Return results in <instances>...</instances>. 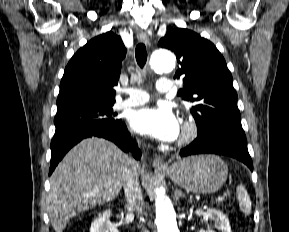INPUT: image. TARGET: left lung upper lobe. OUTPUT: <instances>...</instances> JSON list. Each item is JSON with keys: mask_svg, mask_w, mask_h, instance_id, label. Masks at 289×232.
<instances>
[{"mask_svg": "<svg viewBox=\"0 0 289 232\" xmlns=\"http://www.w3.org/2000/svg\"><path fill=\"white\" fill-rule=\"evenodd\" d=\"M158 45L176 54L179 68L174 78H183L178 95L193 104L198 135L223 127H240L237 93L225 59L207 39L183 28L170 30Z\"/></svg>", "mask_w": 289, "mask_h": 232, "instance_id": "1", "label": "left lung upper lobe"}]
</instances>
